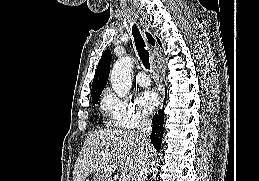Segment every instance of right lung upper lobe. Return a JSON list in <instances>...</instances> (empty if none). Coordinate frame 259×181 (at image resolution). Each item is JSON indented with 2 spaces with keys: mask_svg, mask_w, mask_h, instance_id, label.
Instances as JSON below:
<instances>
[{
  "mask_svg": "<svg viewBox=\"0 0 259 181\" xmlns=\"http://www.w3.org/2000/svg\"><path fill=\"white\" fill-rule=\"evenodd\" d=\"M156 39L158 43L161 45L160 40L157 37ZM110 61H111V51L106 50L99 61V64L97 66V70L93 79L92 90H91L92 98L99 96L107 83L109 70H110Z\"/></svg>",
  "mask_w": 259,
  "mask_h": 181,
  "instance_id": "obj_1",
  "label": "right lung upper lobe"
}]
</instances>
